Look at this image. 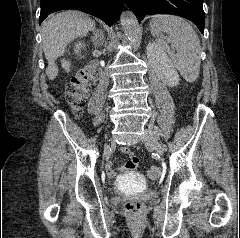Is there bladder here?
I'll return each mask as SVG.
<instances>
[{
    "mask_svg": "<svg viewBox=\"0 0 240 238\" xmlns=\"http://www.w3.org/2000/svg\"><path fill=\"white\" fill-rule=\"evenodd\" d=\"M141 185V181L137 176L129 177L128 179L124 180L120 185V190H132L136 189Z\"/></svg>",
    "mask_w": 240,
    "mask_h": 238,
    "instance_id": "obj_1",
    "label": "bladder"
}]
</instances>
